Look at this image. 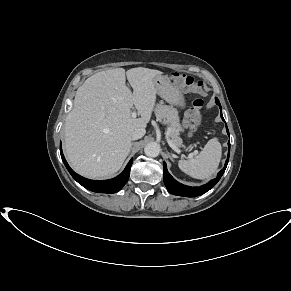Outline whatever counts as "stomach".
Instances as JSON below:
<instances>
[{
    "label": "stomach",
    "instance_id": "1",
    "mask_svg": "<svg viewBox=\"0 0 291 291\" xmlns=\"http://www.w3.org/2000/svg\"><path fill=\"white\" fill-rule=\"evenodd\" d=\"M157 94L171 105L185 108V99L180 87L171 83L165 76H157L154 79Z\"/></svg>",
    "mask_w": 291,
    "mask_h": 291
}]
</instances>
